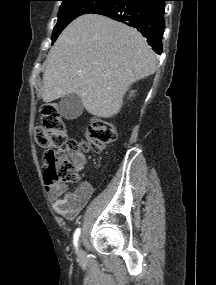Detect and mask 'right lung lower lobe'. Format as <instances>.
Here are the masks:
<instances>
[{
	"label": "right lung lower lobe",
	"mask_w": 216,
	"mask_h": 285,
	"mask_svg": "<svg viewBox=\"0 0 216 285\" xmlns=\"http://www.w3.org/2000/svg\"><path fill=\"white\" fill-rule=\"evenodd\" d=\"M167 0H114L94 14L110 17L136 28L157 53H162L164 2Z\"/></svg>",
	"instance_id": "98d812e1"
}]
</instances>
